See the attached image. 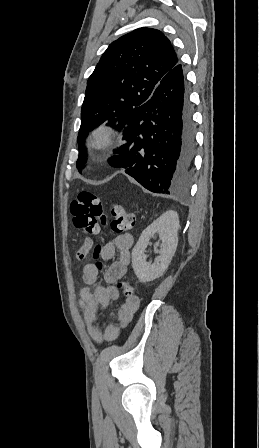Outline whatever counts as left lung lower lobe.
<instances>
[{
  "label": "left lung lower lobe",
  "mask_w": 259,
  "mask_h": 448,
  "mask_svg": "<svg viewBox=\"0 0 259 448\" xmlns=\"http://www.w3.org/2000/svg\"><path fill=\"white\" fill-rule=\"evenodd\" d=\"M126 144L109 163L123 168L143 187L170 195L190 179L195 132L188 87L178 63L160 80L149 100L126 119Z\"/></svg>",
  "instance_id": "left-lung-lower-lobe-1"
}]
</instances>
